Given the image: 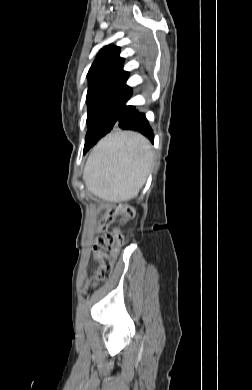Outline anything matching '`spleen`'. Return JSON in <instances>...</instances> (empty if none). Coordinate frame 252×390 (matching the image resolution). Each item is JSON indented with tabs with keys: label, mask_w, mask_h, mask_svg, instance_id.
Segmentation results:
<instances>
[{
	"label": "spleen",
	"mask_w": 252,
	"mask_h": 390,
	"mask_svg": "<svg viewBox=\"0 0 252 390\" xmlns=\"http://www.w3.org/2000/svg\"><path fill=\"white\" fill-rule=\"evenodd\" d=\"M153 152L146 138L137 133L117 132L90 154L83 179L90 192L110 202L135 198L146 181Z\"/></svg>",
	"instance_id": "spleen-1"
}]
</instances>
